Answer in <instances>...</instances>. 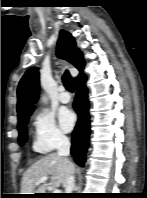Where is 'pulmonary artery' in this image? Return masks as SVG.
Wrapping results in <instances>:
<instances>
[{
  "label": "pulmonary artery",
  "mask_w": 147,
  "mask_h": 198,
  "mask_svg": "<svg viewBox=\"0 0 147 198\" xmlns=\"http://www.w3.org/2000/svg\"><path fill=\"white\" fill-rule=\"evenodd\" d=\"M59 95H58V99L61 103H69L71 100L70 94L65 90L64 87H60L59 89Z\"/></svg>",
  "instance_id": "e3ab8cb5"
}]
</instances>
